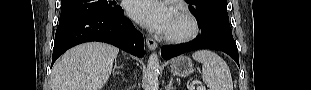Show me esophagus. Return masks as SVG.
Instances as JSON below:
<instances>
[{
	"mask_svg": "<svg viewBox=\"0 0 311 90\" xmlns=\"http://www.w3.org/2000/svg\"><path fill=\"white\" fill-rule=\"evenodd\" d=\"M146 44L150 50H154L157 47V43L153 38L147 37L146 38Z\"/></svg>",
	"mask_w": 311,
	"mask_h": 90,
	"instance_id": "esophagus-1",
	"label": "esophagus"
}]
</instances>
